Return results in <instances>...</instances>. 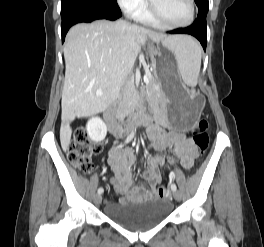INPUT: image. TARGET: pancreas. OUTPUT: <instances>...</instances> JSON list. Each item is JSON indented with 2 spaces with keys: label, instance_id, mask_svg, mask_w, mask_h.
I'll use <instances>...</instances> for the list:
<instances>
[{
  "label": "pancreas",
  "instance_id": "1",
  "mask_svg": "<svg viewBox=\"0 0 264 247\" xmlns=\"http://www.w3.org/2000/svg\"><path fill=\"white\" fill-rule=\"evenodd\" d=\"M149 78V86L146 87L147 90V98L154 105H157L159 101L162 99V91L160 88L159 81L150 74H146ZM134 99V95L132 91H126L124 95V105L129 109L132 105Z\"/></svg>",
  "mask_w": 264,
  "mask_h": 247
}]
</instances>
